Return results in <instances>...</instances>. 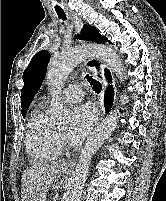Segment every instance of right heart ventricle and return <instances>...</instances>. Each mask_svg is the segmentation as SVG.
<instances>
[{
  "label": "right heart ventricle",
  "mask_w": 166,
  "mask_h": 201,
  "mask_svg": "<svg viewBox=\"0 0 166 201\" xmlns=\"http://www.w3.org/2000/svg\"><path fill=\"white\" fill-rule=\"evenodd\" d=\"M26 151L34 163L55 160L62 152L59 134L42 110H36L29 119Z\"/></svg>",
  "instance_id": "obj_1"
}]
</instances>
